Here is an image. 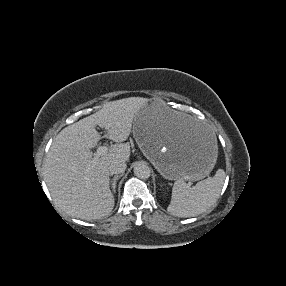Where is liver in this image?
<instances>
[{
  "label": "liver",
  "instance_id": "liver-1",
  "mask_svg": "<svg viewBox=\"0 0 286 286\" xmlns=\"http://www.w3.org/2000/svg\"><path fill=\"white\" fill-rule=\"evenodd\" d=\"M146 102V98L140 97L106 102L101 110L65 127L54 138L45 161V181L54 203L65 213L92 220L112 211L115 201L110 190L109 166L114 160H129L130 144L123 142L131 133L135 115ZM175 115L186 132L201 133L193 128L189 115ZM96 125L107 129L106 136L116 144L94 159L91 149L101 139Z\"/></svg>",
  "mask_w": 286,
  "mask_h": 286
}]
</instances>
